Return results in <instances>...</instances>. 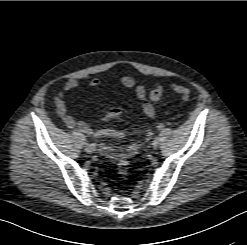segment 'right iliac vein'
<instances>
[{
    "mask_svg": "<svg viewBox=\"0 0 247 245\" xmlns=\"http://www.w3.org/2000/svg\"><path fill=\"white\" fill-rule=\"evenodd\" d=\"M86 148V152H88V153H92L93 151H94V149H92V148H90L89 146H88V144H86V146H85Z\"/></svg>",
    "mask_w": 247,
    "mask_h": 245,
    "instance_id": "right-iliac-vein-1",
    "label": "right iliac vein"
}]
</instances>
